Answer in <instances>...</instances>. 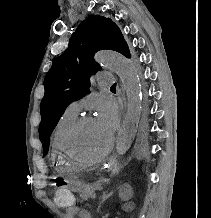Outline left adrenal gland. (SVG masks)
I'll use <instances>...</instances> for the list:
<instances>
[{
	"instance_id": "1",
	"label": "left adrenal gland",
	"mask_w": 211,
	"mask_h": 218,
	"mask_svg": "<svg viewBox=\"0 0 211 218\" xmlns=\"http://www.w3.org/2000/svg\"><path fill=\"white\" fill-rule=\"evenodd\" d=\"M112 194H113V192H109V194H108V192H103L101 202H100V204H99V206L97 208L98 212H100V208H101L103 202H105V200H108V198H110V196H112Z\"/></svg>"
}]
</instances>
